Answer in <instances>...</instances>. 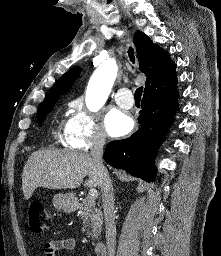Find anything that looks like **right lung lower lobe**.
<instances>
[{
	"instance_id": "98d812e1",
	"label": "right lung lower lobe",
	"mask_w": 221,
	"mask_h": 256,
	"mask_svg": "<svg viewBox=\"0 0 221 256\" xmlns=\"http://www.w3.org/2000/svg\"><path fill=\"white\" fill-rule=\"evenodd\" d=\"M177 88L143 96L139 129L129 138L110 142L106 162L131 175L151 182L156 175L154 158L177 110Z\"/></svg>"
}]
</instances>
